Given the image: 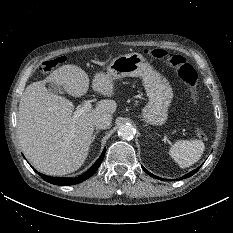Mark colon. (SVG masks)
Listing matches in <instances>:
<instances>
[{"mask_svg":"<svg viewBox=\"0 0 233 233\" xmlns=\"http://www.w3.org/2000/svg\"><path fill=\"white\" fill-rule=\"evenodd\" d=\"M144 52L153 58L164 59L170 66L175 68L180 79L188 86L192 98L194 100L197 98L198 75L194 67L190 63H188L184 56L180 54L169 53L167 50L162 48L149 49L145 50ZM65 61V56H58L54 59L43 62L40 69L43 73H48ZM196 135L202 140H205L207 138L205 131L201 128L196 129Z\"/></svg>","mask_w":233,"mask_h":233,"instance_id":"colon-1","label":"colon"}]
</instances>
